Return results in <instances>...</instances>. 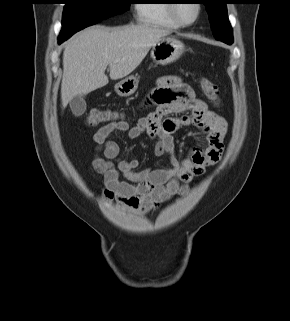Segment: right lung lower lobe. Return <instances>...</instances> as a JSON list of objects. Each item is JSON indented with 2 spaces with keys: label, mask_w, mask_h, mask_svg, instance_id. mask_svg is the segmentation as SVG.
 Here are the masks:
<instances>
[{
  "label": "right lung lower lobe",
  "mask_w": 290,
  "mask_h": 321,
  "mask_svg": "<svg viewBox=\"0 0 290 321\" xmlns=\"http://www.w3.org/2000/svg\"><path fill=\"white\" fill-rule=\"evenodd\" d=\"M62 41H64V40L59 39V43H61Z\"/></svg>",
  "instance_id": "1"
}]
</instances>
